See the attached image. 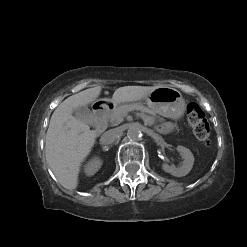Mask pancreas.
Instances as JSON below:
<instances>
[{"instance_id":"cf45deb5","label":"pancreas","mask_w":247,"mask_h":247,"mask_svg":"<svg viewBox=\"0 0 247 247\" xmlns=\"http://www.w3.org/2000/svg\"><path fill=\"white\" fill-rule=\"evenodd\" d=\"M134 110H138L142 113H148L156 117V113L153 110L139 103H133V104H123L113 109L110 113L106 115L105 122H109L112 126H117L123 121L124 117L128 112Z\"/></svg>"}]
</instances>
